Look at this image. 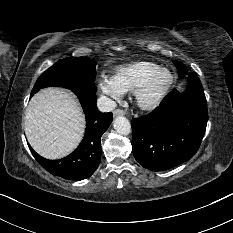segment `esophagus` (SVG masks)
I'll return each mask as SVG.
<instances>
[{"instance_id": "34e87169", "label": "esophagus", "mask_w": 233, "mask_h": 233, "mask_svg": "<svg viewBox=\"0 0 233 233\" xmlns=\"http://www.w3.org/2000/svg\"><path fill=\"white\" fill-rule=\"evenodd\" d=\"M124 114H125V112H124L122 109H115V110L113 111L114 117L123 116Z\"/></svg>"}]
</instances>
